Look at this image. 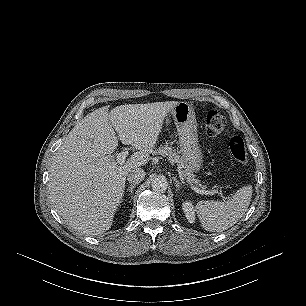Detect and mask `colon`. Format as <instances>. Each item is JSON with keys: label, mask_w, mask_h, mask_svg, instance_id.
<instances>
[{"label": "colon", "mask_w": 306, "mask_h": 306, "mask_svg": "<svg viewBox=\"0 0 306 306\" xmlns=\"http://www.w3.org/2000/svg\"><path fill=\"white\" fill-rule=\"evenodd\" d=\"M226 125V119L223 114L215 109L208 110L204 117L205 132L208 137H213L221 133ZM229 149L233 157L240 164L249 162V154L244 141L240 136H233L229 140Z\"/></svg>", "instance_id": "obj_1"}]
</instances>
